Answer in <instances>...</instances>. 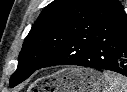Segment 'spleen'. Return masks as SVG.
<instances>
[{"label": "spleen", "mask_w": 127, "mask_h": 92, "mask_svg": "<svg viewBox=\"0 0 127 92\" xmlns=\"http://www.w3.org/2000/svg\"><path fill=\"white\" fill-rule=\"evenodd\" d=\"M103 77L108 84V87L103 92H127L126 77L110 71H104Z\"/></svg>", "instance_id": "spleen-1"}]
</instances>
